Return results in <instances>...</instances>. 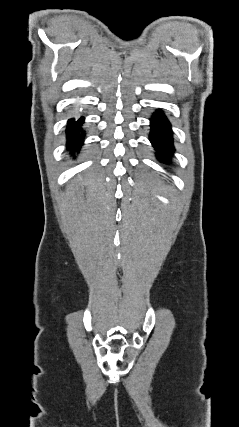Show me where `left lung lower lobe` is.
I'll return each mask as SVG.
<instances>
[{
	"mask_svg": "<svg viewBox=\"0 0 239 427\" xmlns=\"http://www.w3.org/2000/svg\"><path fill=\"white\" fill-rule=\"evenodd\" d=\"M150 141L160 161L168 163L174 152L170 123L163 112L157 111L151 119Z\"/></svg>",
	"mask_w": 239,
	"mask_h": 427,
	"instance_id": "1",
	"label": "left lung lower lobe"
}]
</instances>
